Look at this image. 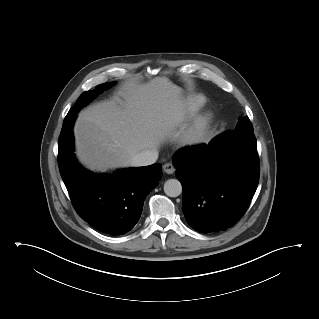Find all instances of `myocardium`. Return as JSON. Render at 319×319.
Returning a JSON list of instances; mask_svg holds the SVG:
<instances>
[{
    "mask_svg": "<svg viewBox=\"0 0 319 319\" xmlns=\"http://www.w3.org/2000/svg\"><path fill=\"white\" fill-rule=\"evenodd\" d=\"M214 117L211 113L203 114L197 121L193 129V135L199 139L203 136L209 125L213 122Z\"/></svg>",
    "mask_w": 319,
    "mask_h": 319,
    "instance_id": "f54148a6",
    "label": "myocardium"
}]
</instances>
